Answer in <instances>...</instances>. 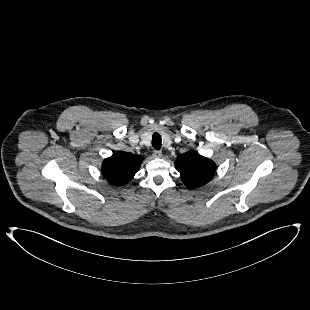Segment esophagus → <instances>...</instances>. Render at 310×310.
<instances>
[{"mask_svg": "<svg viewBox=\"0 0 310 310\" xmlns=\"http://www.w3.org/2000/svg\"><path fill=\"white\" fill-rule=\"evenodd\" d=\"M152 156L154 158H161L162 157V152L160 150H154Z\"/></svg>", "mask_w": 310, "mask_h": 310, "instance_id": "obj_1", "label": "esophagus"}]
</instances>
